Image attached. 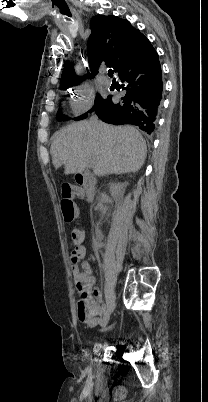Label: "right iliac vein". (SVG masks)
<instances>
[{"label": "right iliac vein", "instance_id": "obj_1", "mask_svg": "<svg viewBox=\"0 0 208 402\" xmlns=\"http://www.w3.org/2000/svg\"><path fill=\"white\" fill-rule=\"evenodd\" d=\"M109 319H110V312H109V310H107L106 314H105V316L103 318L102 324H101L102 331L105 330V328H106V326H107V324L109 322Z\"/></svg>", "mask_w": 208, "mask_h": 402}]
</instances>
